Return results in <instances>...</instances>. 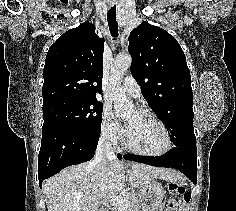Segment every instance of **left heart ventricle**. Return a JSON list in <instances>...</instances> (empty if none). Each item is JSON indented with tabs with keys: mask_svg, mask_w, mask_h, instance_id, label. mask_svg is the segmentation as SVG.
Instances as JSON below:
<instances>
[{
	"mask_svg": "<svg viewBox=\"0 0 236 211\" xmlns=\"http://www.w3.org/2000/svg\"><path fill=\"white\" fill-rule=\"evenodd\" d=\"M129 142L138 150L157 153L166 144L165 134L154 120L132 111L124 118Z\"/></svg>",
	"mask_w": 236,
	"mask_h": 211,
	"instance_id": "b2bd125f",
	"label": "left heart ventricle"
}]
</instances>
